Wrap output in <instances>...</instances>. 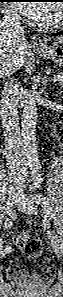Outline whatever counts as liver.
<instances>
[{
  "mask_svg": "<svg viewBox=\"0 0 63 297\" xmlns=\"http://www.w3.org/2000/svg\"><path fill=\"white\" fill-rule=\"evenodd\" d=\"M31 51L25 39L15 42L12 37L0 34V75L3 71L14 73L26 62Z\"/></svg>",
  "mask_w": 63,
  "mask_h": 297,
  "instance_id": "1",
  "label": "liver"
}]
</instances>
